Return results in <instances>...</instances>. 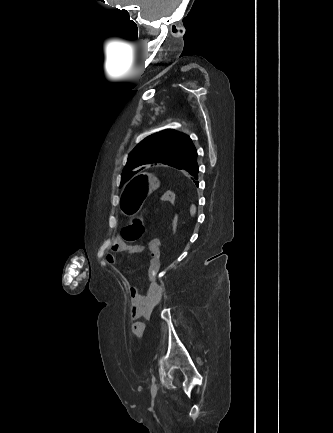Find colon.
<instances>
[{
    "mask_svg": "<svg viewBox=\"0 0 333 433\" xmlns=\"http://www.w3.org/2000/svg\"><path fill=\"white\" fill-rule=\"evenodd\" d=\"M162 200L174 203L175 197L172 192H165L162 197ZM144 234V224L141 217H135L130 220L123 228H122V238L124 241L128 243H135L141 239Z\"/></svg>",
    "mask_w": 333,
    "mask_h": 433,
    "instance_id": "1",
    "label": "colon"
}]
</instances>
